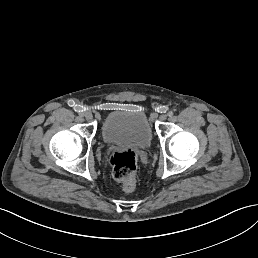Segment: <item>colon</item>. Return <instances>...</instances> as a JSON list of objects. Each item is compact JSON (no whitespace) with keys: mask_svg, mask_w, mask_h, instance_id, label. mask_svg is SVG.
I'll return each instance as SVG.
<instances>
[{"mask_svg":"<svg viewBox=\"0 0 258 258\" xmlns=\"http://www.w3.org/2000/svg\"><path fill=\"white\" fill-rule=\"evenodd\" d=\"M137 162V155L131 150H116L110 156L113 178L126 192H132L136 187Z\"/></svg>","mask_w":258,"mask_h":258,"instance_id":"5ec220e1","label":"colon"}]
</instances>
